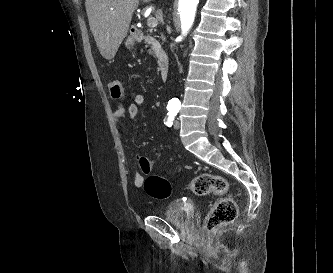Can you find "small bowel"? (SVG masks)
Masks as SVG:
<instances>
[{
    "mask_svg": "<svg viewBox=\"0 0 333 273\" xmlns=\"http://www.w3.org/2000/svg\"><path fill=\"white\" fill-rule=\"evenodd\" d=\"M146 102L144 94H137L134 96L133 101L128 106H119L113 112L114 123L119 126L124 118H127L129 124H132L136 119L139 109ZM140 159V158H139ZM144 176L142 173L136 171L133 176V184L137 188L144 186Z\"/></svg>",
    "mask_w": 333,
    "mask_h": 273,
    "instance_id": "obj_1",
    "label": "small bowel"
}]
</instances>
